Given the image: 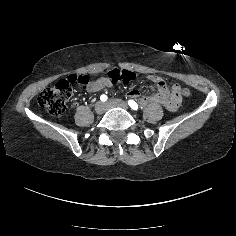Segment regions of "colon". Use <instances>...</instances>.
I'll return each mask as SVG.
<instances>
[{"label": "colon", "instance_id": "obj_1", "mask_svg": "<svg viewBox=\"0 0 236 236\" xmlns=\"http://www.w3.org/2000/svg\"><path fill=\"white\" fill-rule=\"evenodd\" d=\"M104 79L108 80L110 84L130 83L135 79V74L125 69H112L105 73ZM91 80L87 75H71L66 79L58 81L55 86L46 88L38 95V103L41 107L46 109L54 116H61L66 110L67 102L73 92V85H78L82 88L90 87L97 82ZM184 97H190L191 92L187 88L180 90Z\"/></svg>", "mask_w": 236, "mask_h": 236}]
</instances>
